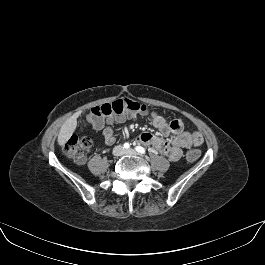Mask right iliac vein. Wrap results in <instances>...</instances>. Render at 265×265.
Returning a JSON list of instances; mask_svg holds the SVG:
<instances>
[{"label":"right iliac vein","instance_id":"right-iliac-vein-1","mask_svg":"<svg viewBox=\"0 0 265 265\" xmlns=\"http://www.w3.org/2000/svg\"><path fill=\"white\" fill-rule=\"evenodd\" d=\"M124 153V149H123V147H117L116 149H115V151H114V154L116 155V156H120V155H122Z\"/></svg>","mask_w":265,"mask_h":265}]
</instances>
